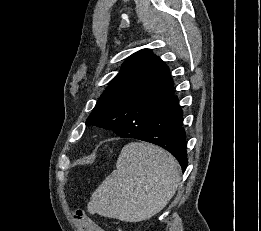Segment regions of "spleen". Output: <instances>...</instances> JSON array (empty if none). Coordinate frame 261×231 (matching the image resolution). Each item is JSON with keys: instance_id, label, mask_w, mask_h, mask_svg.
Wrapping results in <instances>:
<instances>
[{"instance_id": "spleen-1", "label": "spleen", "mask_w": 261, "mask_h": 231, "mask_svg": "<svg viewBox=\"0 0 261 231\" xmlns=\"http://www.w3.org/2000/svg\"><path fill=\"white\" fill-rule=\"evenodd\" d=\"M180 166L165 150L144 142L123 147L114 170L91 196L88 211L139 222L160 212L175 194Z\"/></svg>"}]
</instances>
